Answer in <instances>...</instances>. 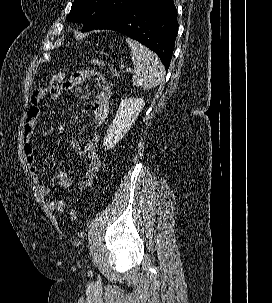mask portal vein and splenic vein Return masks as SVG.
Masks as SVG:
<instances>
[{
  "instance_id": "portal-vein-and-splenic-vein-1",
  "label": "portal vein and splenic vein",
  "mask_w": 272,
  "mask_h": 303,
  "mask_svg": "<svg viewBox=\"0 0 272 303\" xmlns=\"http://www.w3.org/2000/svg\"><path fill=\"white\" fill-rule=\"evenodd\" d=\"M127 70H128L129 72H132V69H131V68H128Z\"/></svg>"
}]
</instances>
